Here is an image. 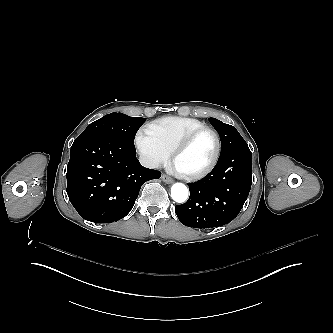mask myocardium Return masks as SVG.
<instances>
[{"mask_svg":"<svg viewBox=\"0 0 333 333\" xmlns=\"http://www.w3.org/2000/svg\"><path fill=\"white\" fill-rule=\"evenodd\" d=\"M203 132H209L212 134V136L215 139V143H216V150L214 153L213 158L211 159V161L209 162V164L207 166H205L204 168L194 172V173H190V174H180L179 176L185 180L188 181H193V180H197V179H201L203 177H205L206 175H208L217 165L219 159H220V155H221V149H222V144H221V139L218 135V133L210 128V127H201V128H197L194 129L192 131H190L189 133L185 134L171 149L169 156H168V165L171 164L172 160L174 159V157L176 155H178L180 152H182L184 149H186L191 142L201 133Z\"/></svg>","mask_w":333,"mask_h":333,"instance_id":"1","label":"myocardium"}]
</instances>
